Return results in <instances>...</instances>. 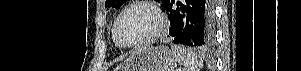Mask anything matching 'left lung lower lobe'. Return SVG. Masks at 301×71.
Returning <instances> with one entry per match:
<instances>
[{"mask_svg": "<svg viewBox=\"0 0 301 71\" xmlns=\"http://www.w3.org/2000/svg\"><path fill=\"white\" fill-rule=\"evenodd\" d=\"M164 9L171 20L169 33L174 43L200 48L213 44L215 30L211 0H168Z\"/></svg>", "mask_w": 301, "mask_h": 71, "instance_id": "1", "label": "left lung lower lobe"}]
</instances>
